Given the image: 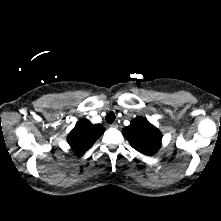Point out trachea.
<instances>
[{
  "instance_id": "obj_1",
  "label": "trachea",
  "mask_w": 221,
  "mask_h": 221,
  "mask_svg": "<svg viewBox=\"0 0 221 221\" xmlns=\"http://www.w3.org/2000/svg\"><path fill=\"white\" fill-rule=\"evenodd\" d=\"M115 114L113 113V112H110V113H108L107 114V116H106V121L108 122V123H112V122H114L115 121Z\"/></svg>"
}]
</instances>
